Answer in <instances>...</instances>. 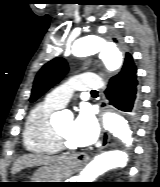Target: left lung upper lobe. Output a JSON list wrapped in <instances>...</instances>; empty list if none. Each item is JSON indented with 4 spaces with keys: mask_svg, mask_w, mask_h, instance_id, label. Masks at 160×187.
<instances>
[{
    "mask_svg": "<svg viewBox=\"0 0 160 187\" xmlns=\"http://www.w3.org/2000/svg\"><path fill=\"white\" fill-rule=\"evenodd\" d=\"M115 42L117 40L114 39ZM130 55L125 54V57ZM68 66L64 59L55 58L45 64L36 75L30 101L34 102L42 94H44L49 88L58 83L62 77L67 73Z\"/></svg>",
    "mask_w": 160,
    "mask_h": 187,
    "instance_id": "left-lung-upper-lobe-1",
    "label": "left lung upper lobe"
}]
</instances>
